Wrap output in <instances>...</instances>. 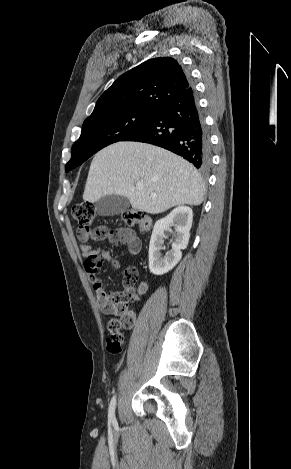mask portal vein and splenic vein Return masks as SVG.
<instances>
[{
  "label": "portal vein and splenic vein",
  "mask_w": 291,
  "mask_h": 469,
  "mask_svg": "<svg viewBox=\"0 0 291 469\" xmlns=\"http://www.w3.org/2000/svg\"><path fill=\"white\" fill-rule=\"evenodd\" d=\"M136 189L137 190H142L143 189V184H137Z\"/></svg>",
  "instance_id": "obj_1"
}]
</instances>
